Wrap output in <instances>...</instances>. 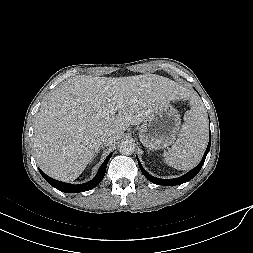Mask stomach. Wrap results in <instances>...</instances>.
<instances>
[{
    "instance_id": "obj_1",
    "label": "stomach",
    "mask_w": 253,
    "mask_h": 253,
    "mask_svg": "<svg viewBox=\"0 0 253 253\" xmlns=\"http://www.w3.org/2000/svg\"><path fill=\"white\" fill-rule=\"evenodd\" d=\"M181 119L177 110L167 102L155 109L139 128V138L149 150H159L174 143Z\"/></svg>"
}]
</instances>
